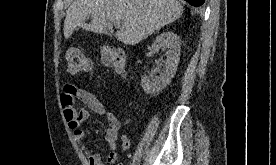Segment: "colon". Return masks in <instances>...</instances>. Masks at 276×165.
<instances>
[{
    "label": "colon",
    "mask_w": 276,
    "mask_h": 165,
    "mask_svg": "<svg viewBox=\"0 0 276 165\" xmlns=\"http://www.w3.org/2000/svg\"><path fill=\"white\" fill-rule=\"evenodd\" d=\"M101 62L107 68H112L119 73L125 69L124 54L112 47L101 49ZM66 71L71 75L90 72L92 63L90 59L79 49H70L66 52Z\"/></svg>",
    "instance_id": "colon-1"
}]
</instances>
